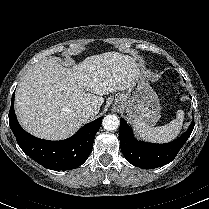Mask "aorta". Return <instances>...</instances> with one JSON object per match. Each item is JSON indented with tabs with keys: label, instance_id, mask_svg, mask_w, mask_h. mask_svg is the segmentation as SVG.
<instances>
[{
	"label": "aorta",
	"instance_id": "1",
	"mask_svg": "<svg viewBox=\"0 0 209 209\" xmlns=\"http://www.w3.org/2000/svg\"><path fill=\"white\" fill-rule=\"evenodd\" d=\"M120 125L119 118L114 114L106 115L103 118L102 126L107 131H113L118 129Z\"/></svg>",
	"mask_w": 209,
	"mask_h": 209
}]
</instances>
